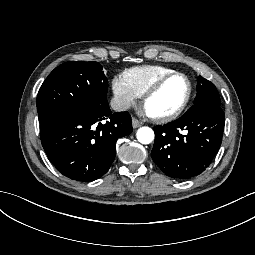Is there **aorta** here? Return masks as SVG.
<instances>
[{"label": "aorta", "mask_w": 255, "mask_h": 255, "mask_svg": "<svg viewBox=\"0 0 255 255\" xmlns=\"http://www.w3.org/2000/svg\"><path fill=\"white\" fill-rule=\"evenodd\" d=\"M137 139L142 144H150L154 139V132L149 127H141L137 131Z\"/></svg>", "instance_id": "762f6f07"}]
</instances>
